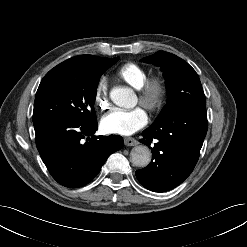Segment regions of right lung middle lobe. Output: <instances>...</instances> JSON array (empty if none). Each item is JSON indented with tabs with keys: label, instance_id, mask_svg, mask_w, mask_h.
<instances>
[{
	"label": "right lung middle lobe",
	"instance_id": "right-lung-middle-lobe-1",
	"mask_svg": "<svg viewBox=\"0 0 247 247\" xmlns=\"http://www.w3.org/2000/svg\"><path fill=\"white\" fill-rule=\"evenodd\" d=\"M119 60L101 58L92 72L49 71L42 79L34 101L33 124L44 121H96L94 101L101 75Z\"/></svg>",
	"mask_w": 247,
	"mask_h": 247
}]
</instances>
